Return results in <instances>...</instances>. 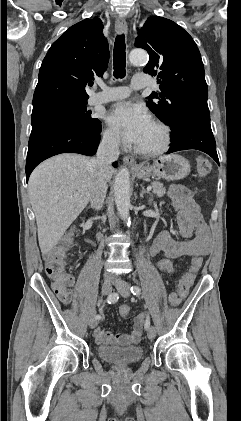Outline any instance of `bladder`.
Instances as JSON below:
<instances>
[{"mask_svg":"<svg viewBox=\"0 0 241 421\" xmlns=\"http://www.w3.org/2000/svg\"><path fill=\"white\" fill-rule=\"evenodd\" d=\"M97 354L103 361L114 365H130L139 362L143 358V348L139 345L118 347L98 346Z\"/></svg>","mask_w":241,"mask_h":421,"instance_id":"1","label":"bladder"}]
</instances>
